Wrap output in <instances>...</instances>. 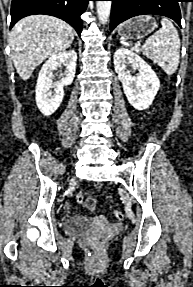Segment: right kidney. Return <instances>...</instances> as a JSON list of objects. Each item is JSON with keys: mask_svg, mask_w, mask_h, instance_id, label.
Returning a JSON list of instances; mask_svg holds the SVG:
<instances>
[{"mask_svg": "<svg viewBox=\"0 0 193 287\" xmlns=\"http://www.w3.org/2000/svg\"><path fill=\"white\" fill-rule=\"evenodd\" d=\"M77 54L75 51H63L52 55L42 66L36 85V103L44 115L53 114L60 106L64 91L63 87L73 82L76 72ZM64 66L60 81L53 82V72L57 67ZM51 89L55 90L52 95Z\"/></svg>", "mask_w": 193, "mask_h": 287, "instance_id": "ca27d5eb", "label": "right kidney"}]
</instances>
